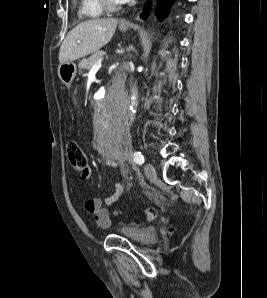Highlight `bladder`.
Segmentation results:
<instances>
[{"mask_svg": "<svg viewBox=\"0 0 267 298\" xmlns=\"http://www.w3.org/2000/svg\"><path fill=\"white\" fill-rule=\"evenodd\" d=\"M121 234L129 240L142 245H150L157 240L156 230L150 226L124 228Z\"/></svg>", "mask_w": 267, "mask_h": 298, "instance_id": "bladder-1", "label": "bladder"}]
</instances>
